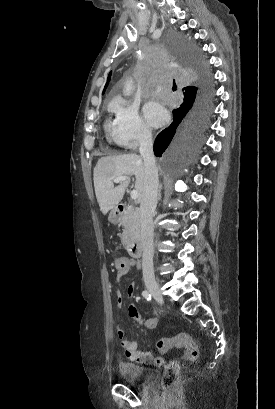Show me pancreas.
I'll list each match as a JSON object with an SVG mask.
<instances>
[{
	"label": "pancreas",
	"instance_id": "obj_1",
	"mask_svg": "<svg viewBox=\"0 0 275 409\" xmlns=\"http://www.w3.org/2000/svg\"><path fill=\"white\" fill-rule=\"evenodd\" d=\"M119 225L124 227V231L121 235V243L124 249H128L133 241L139 237L140 223L138 209H135V207H126V211H124L120 217Z\"/></svg>",
	"mask_w": 275,
	"mask_h": 409
}]
</instances>
